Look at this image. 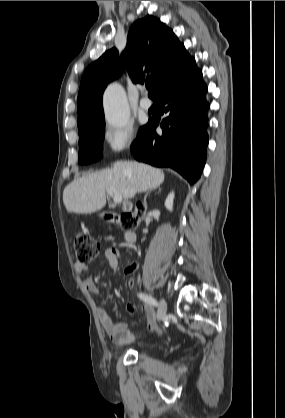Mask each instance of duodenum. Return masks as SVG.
<instances>
[{
  "label": "duodenum",
  "instance_id": "obj_1",
  "mask_svg": "<svg viewBox=\"0 0 285 418\" xmlns=\"http://www.w3.org/2000/svg\"><path fill=\"white\" fill-rule=\"evenodd\" d=\"M104 218L106 220L112 222V223H115V224H119L120 223V217L117 214L113 213V212H106V213H104ZM124 238H125L127 244L128 245H131V244L134 243V241L136 239V235L133 232H131V231H126L124 233Z\"/></svg>",
  "mask_w": 285,
  "mask_h": 418
}]
</instances>
